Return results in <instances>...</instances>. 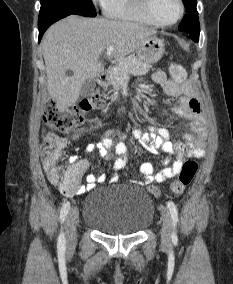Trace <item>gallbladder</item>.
Returning a JSON list of instances; mask_svg holds the SVG:
<instances>
[{
    "mask_svg": "<svg viewBox=\"0 0 233 284\" xmlns=\"http://www.w3.org/2000/svg\"><path fill=\"white\" fill-rule=\"evenodd\" d=\"M96 88V81L93 78L85 80L81 87L80 96L81 97H88L92 95Z\"/></svg>",
    "mask_w": 233,
    "mask_h": 284,
    "instance_id": "obj_1",
    "label": "gallbladder"
}]
</instances>
